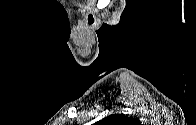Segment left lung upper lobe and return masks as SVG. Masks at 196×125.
Returning a JSON list of instances; mask_svg holds the SVG:
<instances>
[{"label": "left lung upper lobe", "instance_id": "5c2ea615", "mask_svg": "<svg viewBox=\"0 0 196 125\" xmlns=\"http://www.w3.org/2000/svg\"><path fill=\"white\" fill-rule=\"evenodd\" d=\"M133 123H135L133 118L123 114H113L99 121L100 125H132Z\"/></svg>", "mask_w": 196, "mask_h": 125}]
</instances>
